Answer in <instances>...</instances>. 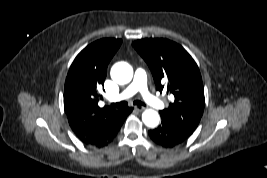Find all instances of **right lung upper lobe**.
<instances>
[{"label":"right lung upper lobe","instance_id":"obj_1","mask_svg":"<svg viewBox=\"0 0 267 178\" xmlns=\"http://www.w3.org/2000/svg\"><path fill=\"white\" fill-rule=\"evenodd\" d=\"M122 40L105 38L84 48L73 61L64 88V109L70 127L76 135H83L92 125L109 119L118 110L100 108L99 90L104 85L107 66Z\"/></svg>","mask_w":267,"mask_h":178}]
</instances>
